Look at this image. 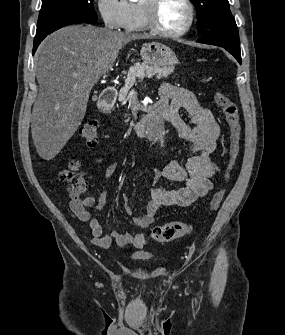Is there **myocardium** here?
<instances>
[{"label":"myocardium","instance_id":"myocardium-1","mask_svg":"<svg viewBox=\"0 0 285 335\" xmlns=\"http://www.w3.org/2000/svg\"><path fill=\"white\" fill-rule=\"evenodd\" d=\"M164 2L165 1H147L146 17H147L148 28L153 33L163 36V37H168V38L180 37L186 32H188L193 24L194 10H193L192 3L190 1H179L189 11L188 20L182 28L175 30V31H170L166 29L160 21V9Z\"/></svg>","mask_w":285,"mask_h":335}]
</instances>
